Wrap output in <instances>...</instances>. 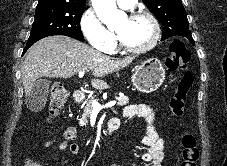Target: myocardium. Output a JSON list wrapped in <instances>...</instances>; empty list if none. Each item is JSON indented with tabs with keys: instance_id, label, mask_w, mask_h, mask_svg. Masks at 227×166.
Returning <instances> with one entry per match:
<instances>
[{
	"instance_id": "myocardium-1",
	"label": "myocardium",
	"mask_w": 227,
	"mask_h": 166,
	"mask_svg": "<svg viewBox=\"0 0 227 166\" xmlns=\"http://www.w3.org/2000/svg\"><path fill=\"white\" fill-rule=\"evenodd\" d=\"M127 17L131 20L138 19V18H146L152 25L153 35H152L150 41L146 45L141 46V47L126 46L121 41V39L118 35L117 40H118L120 48L123 51L131 53V54H143V53H146V52L150 51L151 49H153L156 46V44L158 43V41L160 39V35H161L160 25H159L156 17L147 11L131 12Z\"/></svg>"
}]
</instances>
